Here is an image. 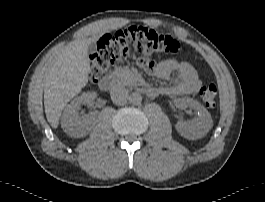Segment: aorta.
Segmentation results:
<instances>
[{
    "label": "aorta",
    "instance_id": "762f6f07",
    "mask_svg": "<svg viewBox=\"0 0 265 202\" xmlns=\"http://www.w3.org/2000/svg\"><path fill=\"white\" fill-rule=\"evenodd\" d=\"M129 102L132 105H140L142 102V95L139 92H133L129 96Z\"/></svg>",
    "mask_w": 265,
    "mask_h": 202
}]
</instances>
